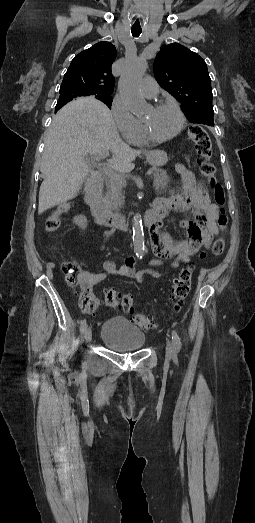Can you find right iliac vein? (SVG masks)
I'll return each mask as SVG.
<instances>
[{
    "label": "right iliac vein",
    "mask_w": 255,
    "mask_h": 523,
    "mask_svg": "<svg viewBox=\"0 0 255 523\" xmlns=\"http://www.w3.org/2000/svg\"><path fill=\"white\" fill-rule=\"evenodd\" d=\"M84 338H85L86 342H90L92 339V331L89 327L86 328V330L84 332Z\"/></svg>",
    "instance_id": "63e3f726"
}]
</instances>
